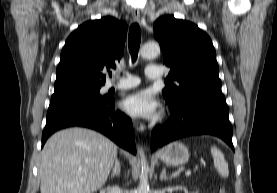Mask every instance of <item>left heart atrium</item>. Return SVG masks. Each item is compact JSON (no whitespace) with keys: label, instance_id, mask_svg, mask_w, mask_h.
Returning <instances> with one entry per match:
<instances>
[{"label":"left heart atrium","instance_id":"1","mask_svg":"<svg viewBox=\"0 0 277 193\" xmlns=\"http://www.w3.org/2000/svg\"><path fill=\"white\" fill-rule=\"evenodd\" d=\"M124 110L133 117L153 118L158 111V103L147 90L135 92L123 101Z\"/></svg>","mask_w":277,"mask_h":193}]
</instances>
